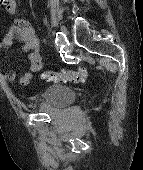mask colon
Returning a JSON list of instances; mask_svg holds the SVG:
<instances>
[{"label":"colon","mask_w":143,"mask_h":170,"mask_svg":"<svg viewBox=\"0 0 143 170\" xmlns=\"http://www.w3.org/2000/svg\"><path fill=\"white\" fill-rule=\"evenodd\" d=\"M6 3V0H0V5ZM88 77V72L85 67H79L73 70H64L61 72L45 71L41 73L40 78L42 80L53 81V82H74L82 83L85 82ZM27 83L26 80L23 82Z\"/></svg>","instance_id":"1"}]
</instances>
